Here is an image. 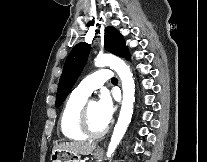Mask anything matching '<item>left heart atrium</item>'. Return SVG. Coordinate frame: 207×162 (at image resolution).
Segmentation results:
<instances>
[{"label":"left heart atrium","mask_w":207,"mask_h":162,"mask_svg":"<svg viewBox=\"0 0 207 162\" xmlns=\"http://www.w3.org/2000/svg\"><path fill=\"white\" fill-rule=\"evenodd\" d=\"M101 117L107 125L115 112V104L112 96L107 92H103L98 102Z\"/></svg>","instance_id":"39dd6f15"}]
</instances>
